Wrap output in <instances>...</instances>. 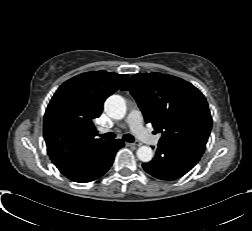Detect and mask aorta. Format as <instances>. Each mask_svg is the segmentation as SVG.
<instances>
[{"mask_svg":"<svg viewBox=\"0 0 252 231\" xmlns=\"http://www.w3.org/2000/svg\"><path fill=\"white\" fill-rule=\"evenodd\" d=\"M106 114L116 120H121L126 115V103L123 97L112 95L107 98L104 104ZM137 157L142 162H150L153 158V150L149 146H141L137 150Z\"/></svg>","mask_w":252,"mask_h":231,"instance_id":"762f6f07","label":"aorta"}]
</instances>
